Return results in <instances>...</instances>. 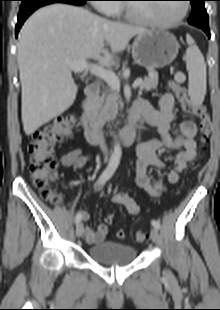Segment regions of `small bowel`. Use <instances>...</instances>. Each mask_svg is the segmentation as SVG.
<instances>
[{"label":"small bowel","instance_id":"obj_1","mask_svg":"<svg viewBox=\"0 0 220 310\" xmlns=\"http://www.w3.org/2000/svg\"><path fill=\"white\" fill-rule=\"evenodd\" d=\"M145 121L157 127L160 135L159 140H151L142 143L137 148L138 160L136 163V183L150 196L159 197L168 188L161 182H152L147 174V168L152 165L164 169L165 164L157 157L156 152L162 148L180 150L175 157V166L168 172V182L172 185L180 181L181 174L186 170L188 164L196 157L197 125L194 121L185 120L180 124V134L172 136L170 133L171 123L174 120V98L171 93L164 94L159 100V107L156 109L148 100H138L132 107ZM91 160L90 156L83 155L80 149H74L62 155L60 161L63 166L81 168ZM104 183L100 179L94 181V189L101 191ZM111 201L123 206L130 215H137L140 211L137 202L123 192H114ZM83 220L89 218L86 211H79ZM108 233L106 224L101 223L93 230L89 226L83 227V234L90 244H98L105 240Z\"/></svg>","mask_w":220,"mask_h":310}]
</instances>
